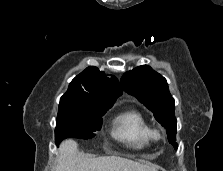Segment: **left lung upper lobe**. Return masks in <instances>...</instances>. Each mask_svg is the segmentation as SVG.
<instances>
[{
    "label": "left lung upper lobe",
    "instance_id": "obj_1",
    "mask_svg": "<svg viewBox=\"0 0 223 171\" xmlns=\"http://www.w3.org/2000/svg\"><path fill=\"white\" fill-rule=\"evenodd\" d=\"M121 83L123 88L136 97L166 129L169 143L177 149L174 99L166 79L151 67L142 65L126 72Z\"/></svg>",
    "mask_w": 223,
    "mask_h": 171
}]
</instances>
